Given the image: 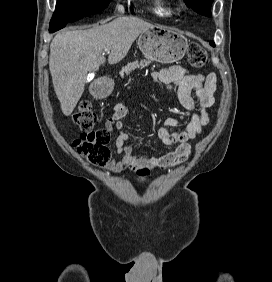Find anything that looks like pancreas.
<instances>
[{"instance_id":"1","label":"pancreas","mask_w":272,"mask_h":282,"mask_svg":"<svg viewBox=\"0 0 272 282\" xmlns=\"http://www.w3.org/2000/svg\"><path fill=\"white\" fill-rule=\"evenodd\" d=\"M150 64L149 60H141V61H134L131 63H128L127 65H125L124 67H122L121 71H120V76L123 78L124 75H129L132 71L138 69V68H142L145 66H148Z\"/></svg>"}]
</instances>
